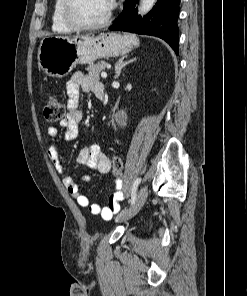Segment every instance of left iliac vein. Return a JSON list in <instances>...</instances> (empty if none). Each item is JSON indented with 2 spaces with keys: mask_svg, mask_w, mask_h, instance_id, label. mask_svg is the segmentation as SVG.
Segmentation results:
<instances>
[{
  "mask_svg": "<svg viewBox=\"0 0 247 296\" xmlns=\"http://www.w3.org/2000/svg\"><path fill=\"white\" fill-rule=\"evenodd\" d=\"M147 196H148L147 188L146 187L141 188L137 194L134 204H132V206L129 209L124 210L120 214H118L115 217V222H123L135 216L145 204Z\"/></svg>",
  "mask_w": 247,
  "mask_h": 296,
  "instance_id": "left-iliac-vein-1",
  "label": "left iliac vein"
}]
</instances>
